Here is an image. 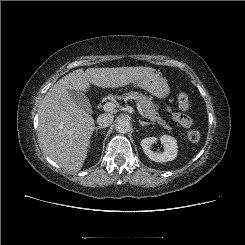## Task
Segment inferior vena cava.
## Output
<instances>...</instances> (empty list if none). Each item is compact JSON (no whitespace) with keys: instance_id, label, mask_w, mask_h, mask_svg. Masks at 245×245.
I'll return each instance as SVG.
<instances>
[{"instance_id":"inferior-vena-cava-1","label":"inferior vena cava","mask_w":245,"mask_h":245,"mask_svg":"<svg viewBox=\"0 0 245 245\" xmlns=\"http://www.w3.org/2000/svg\"><path fill=\"white\" fill-rule=\"evenodd\" d=\"M114 115L110 113L101 114L97 118V123L102 127H107L112 124Z\"/></svg>"}]
</instances>
